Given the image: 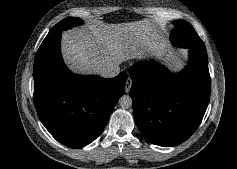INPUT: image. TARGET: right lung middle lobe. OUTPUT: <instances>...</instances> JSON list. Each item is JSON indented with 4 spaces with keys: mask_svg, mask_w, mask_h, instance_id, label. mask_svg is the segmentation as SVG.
I'll use <instances>...</instances> for the list:
<instances>
[{
    "mask_svg": "<svg viewBox=\"0 0 237 169\" xmlns=\"http://www.w3.org/2000/svg\"><path fill=\"white\" fill-rule=\"evenodd\" d=\"M82 23H83L82 20H80L79 18H66V19H63L62 21L57 23L50 30V32L48 33L47 36L50 37V36L61 34L64 30H67L68 28L78 26Z\"/></svg>",
    "mask_w": 237,
    "mask_h": 169,
    "instance_id": "dd1d6c3e",
    "label": "right lung middle lobe"
}]
</instances>
